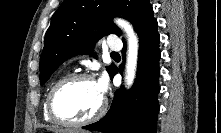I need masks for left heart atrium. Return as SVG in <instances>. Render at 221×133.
Wrapping results in <instances>:
<instances>
[{"label": "left heart atrium", "mask_w": 221, "mask_h": 133, "mask_svg": "<svg viewBox=\"0 0 221 133\" xmlns=\"http://www.w3.org/2000/svg\"><path fill=\"white\" fill-rule=\"evenodd\" d=\"M96 87L102 96L105 95L108 89V82L104 75H102L97 81H95Z\"/></svg>", "instance_id": "left-heart-atrium-1"}]
</instances>
